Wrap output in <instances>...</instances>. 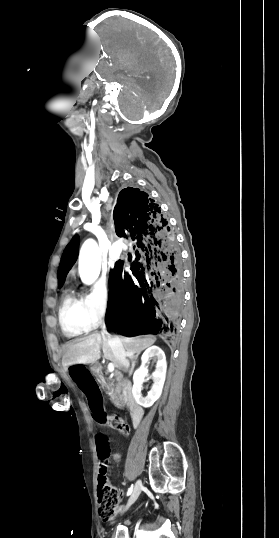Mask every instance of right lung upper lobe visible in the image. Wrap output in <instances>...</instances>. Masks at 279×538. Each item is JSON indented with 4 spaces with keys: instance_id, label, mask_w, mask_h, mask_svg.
Listing matches in <instances>:
<instances>
[{
    "instance_id": "1",
    "label": "right lung upper lobe",
    "mask_w": 279,
    "mask_h": 538,
    "mask_svg": "<svg viewBox=\"0 0 279 538\" xmlns=\"http://www.w3.org/2000/svg\"><path fill=\"white\" fill-rule=\"evenodd\" d=\"M122 334H134V333H122Z\"/></svg>"
}]
</instances>
